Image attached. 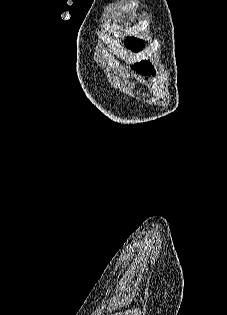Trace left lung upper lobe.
Listing matches in <instances>:
<instances>
[{"label": "left lung upper lobe", "instance_id": "1", "mask_svg": "<svg viewBox=\"0 0 227 315\" xmlns=\"http://www.w3.org/2000/svg\"><path fill=\"white\" fill-rule=\"evenodd\" d=\"M143 41L139 40L137 38L134 37H127L126 41H125V45L127 46V48L131 49L132 51L136 52V50L143 45ZM136 66V65H135ZM135 69V67H134ZM138 70V69H137ZM139 71V70H138ZM140 72V71H139ZM142 73V72H141ZM143 74H153L152 72H145ZM155 74V72H154Z\"/></svg>", "mask_w": 227, "mask_h": 315}]
</instances>
